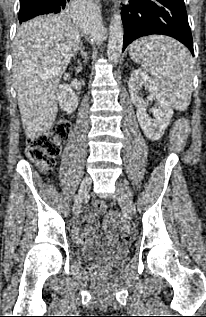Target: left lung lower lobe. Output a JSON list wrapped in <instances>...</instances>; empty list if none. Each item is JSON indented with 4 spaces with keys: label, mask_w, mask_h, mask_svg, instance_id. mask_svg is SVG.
I'll return each instance as SVG.
<instances>
[{
    "label": "left lung lower lobe",
    "mask_w": 206,
    "mask_h": 317,
    "mask_svg": "<svg viewBox=\"0 0 206 317\" xmlns=\"http://www.w3.org/2000/svg\"><path fill=\"white\" fill-rule=\"evenodd\" d=\"M123 10V50L137 38L162 34L179 40L194 55L183 0H129Z\"/></svg>",
    "instance_id": "0a47b994"
}]
</instances>
